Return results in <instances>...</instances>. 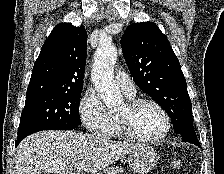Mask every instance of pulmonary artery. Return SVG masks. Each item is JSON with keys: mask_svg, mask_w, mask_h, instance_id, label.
<instances>
[{"mask_svg": "<svg viewBox=\"0 0 224 174\" xmlns=\"http://www.w3.org/2000/svg\"><path fill=\"white\" fill-rule=\"evenodd\" d=\"M116 83L125 95L129 97H133L135 95V85L131 78L124 72H118L116 74Z\"/></svg>", "mask_w": 224, "mask_h": 174, "instance_id": "e3ab8cb5", "label": "pulmonary artery"}]
</instances>
